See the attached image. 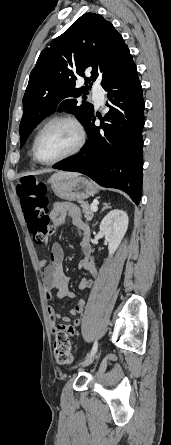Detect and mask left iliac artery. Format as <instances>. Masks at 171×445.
I'll use <instances>...</instances> for the list:
<instances>
[{
    "instance_id": "44dca946",
    "label": "left iliac artery",
    "mask_w": 171,
    "mask_h": 445,
    "mask_svg": "<svg viewBox=\"0 0 171 445\" xmlns=\"http://www.w3.org/2000/svg\"><path fill=\"white\" fill-rule=\"evenodd\" d=\"M97 348H98V342L95 341L94 344H93V347H92V349L90 351V353L87 354V357H89L90 355L94 354L97 351Z\"/></svg>"
}]
</instances>
